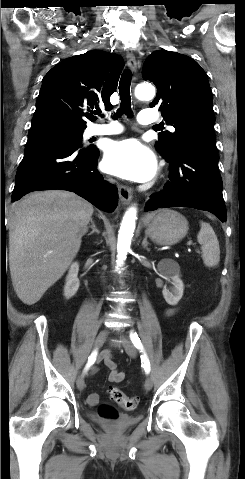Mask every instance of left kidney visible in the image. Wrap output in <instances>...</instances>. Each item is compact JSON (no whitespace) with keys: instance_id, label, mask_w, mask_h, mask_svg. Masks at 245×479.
<instances>
[{"instance_id":"left-kidney-1","label":"left kidney","mask_w":245,"mask_h":479,"mask_svg":"<svg viewBox=\"0 0 245 479\" xmlns=\"http://www.w3.org/2000/svg\"><path fill=\"white\" fill-rule=\"evenodd\" d=\"M158 271L162 276L169 278L172 286H164L162 294L169 305H177L183 296L184 284L180 279L179 264L172 259H162L158 264Z\"/></svg>"}]
</instances>
